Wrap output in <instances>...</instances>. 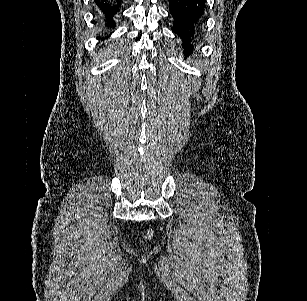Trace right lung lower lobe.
Segmentation results:
<instances>
[{"label":"right lung lower lobe","instance_id":"1","mask_svg":"<svg viewBox=\"0 0 307 301\" xmlns=\"http://www.w3.org/2000/svg\"><path fill=\"white\" fill-rule=\"evenodd\" d=\"M100 20L105 22L107 27H115L114 17L119 12L120 3L118 0H94Z\"/></svg>","mask_w":307,"mask_h":301}]
</instances>
